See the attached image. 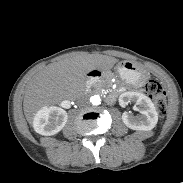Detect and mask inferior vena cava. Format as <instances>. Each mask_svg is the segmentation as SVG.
Here are the masks:
<instances>
[{
	"instance_id": "inferior-vena-cava-1",
	"label": "inferior vena cava",
	"mask_w": 183,
	"mask_h": 183,
	"mask_svg": "<svg viewBox=\"0 0 183 183\" xmlns=\"http://www.w3.org/2000/svg\"><path fill=\"white\" fill-rule=\"evenodd\" d=\"M89 103V98L87 96H80L77 99V104L78 105H87Z\"/></svg>"
}]
</instances>
